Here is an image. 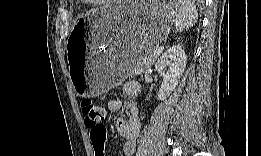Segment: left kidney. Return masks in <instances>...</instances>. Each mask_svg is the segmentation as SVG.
<instances>
[{
	"mask_svg": "<svg viewBox=\"0 0 261 156\" xmlns=\"http://www.w3.org/2000/svg\"><path fill=\"white\" fill-rule=\"evenodd\" d=\"M186 67V55L181 45H174L165 51L155 64V69L163 75L158 91V100L164 101L178 84Z\"/></svg>",
	"mask_w": 261,
	"mask_h": 156,
	"instance_id": "1",
	"label": "left kidney"
}]
</instances>
